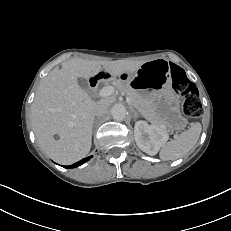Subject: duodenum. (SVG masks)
<instances>
[{
    "instance_id": "410a0bca",
    "label": "duodenum",
    "mask_w": 231,
    "mask_h": 231,
    "mask_svg": "<svg viewBox=\"0 0 231 231\" xmlns=\"http://www.w3.org/2000/svg\"><path fill=\"white\" fill-rule=\"evenodd\" d=\"M109 80H110V76L108 74H104L103 76L100 77H94L90 81V86L92 89H95L98 82H106Z\"/></svg>"
}]
</instances>
